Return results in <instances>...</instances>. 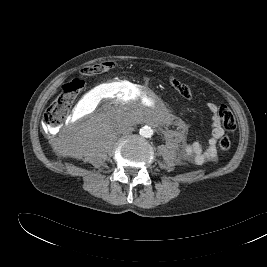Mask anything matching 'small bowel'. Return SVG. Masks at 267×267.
Segmentation results:
<instances>
[{
  "label": "small bowel",
  "instance_id": "obj_1",
  "mask_svg": "<svg viewBox=\"0 0 267 267\" xmlns=\"http://www.w3.org/2000/svg\"><path fill=\"white\" fill-rule=\"evenodd\" d=\"M220 106L210 102L207 109L211 116L212 129L208 140L205 143H189L183 144L181 154L184 158L194 162L195 164H203L212 162L217 159L216 143L218 139L225 133L220 114Z\"/></svg>",
  "mask_w": 267,
  "mask_h": 267
}]
</instances>
